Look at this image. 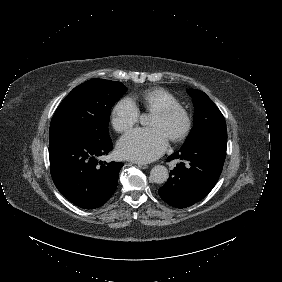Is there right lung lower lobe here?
Listing matches in <instances>:
<instances>
[{"label": "right lung lower lobe", "instance_id": "obj_1", "mask_svg": "<svg viewBox=\"0 0 282 282\" xmlns=\"http://www.w3.org/2000/svg\"><path fill=\"white\" fill-rule=\"evenodd\" d=\"M111 138L74 131L49 143L50 170L58 190L73 204L95 209L116 190L121 162L101 163L98 157L112 150Z\"/></svg>", "mask_w": 282, "mask_h": 282}]
</instances>
